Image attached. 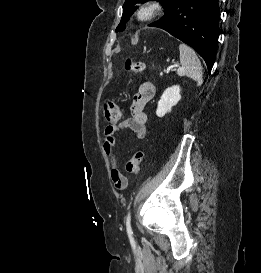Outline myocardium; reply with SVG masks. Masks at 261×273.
<instances>
[{"label":"myocardium","instance_id":"obj_1","mask_svg":"<svg viewBox=\"0 0 261 273\" xmlns=\"http://www.w3.org/2000/svg\"><path fill=\"white\" fill-rule=\"evenodd\" d=\"M163 11V5L156 0H150L139 5L135 12L137 21L147 23L155 19Z\"/></svg>","mask_w":261,"mask_h":273}]
</instances>
